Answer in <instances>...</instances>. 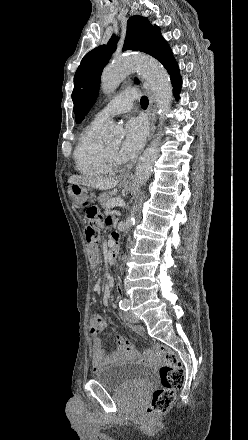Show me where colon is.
Wrapping results in <instances>:
<instances>
[{"instance_id":"colon-1","label":"colon","mask_w":248,"mask_h":440,"mask_svg":"<svg viewBox=\"0 0 248 440\" xmlns=\"http://www.w3.org/2000/svg\"><path fill=\"white\" fill-rule=\"evenodd\" d=\"M88 223L85 229L86 240L94 245L98 240L97 228L100 224L96 209H89L85 216ZM90 261L93 266L98 263L97 253L91 249ZM153 348L163 355V364L159 368V377L161 386L152 394V399L147 412L150 416L163 415L172 406L175 393L181 388L184 382V370L176 353L165 345L153 342Z\"/></svg>"}]
</instances>
